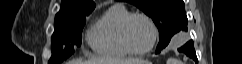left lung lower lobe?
Returning a JSON list of instances; mask_svg holds the SVG:
<instances>
[{"label": "left lung lower lobe", "mask_w": 242, "mask_h": 64, "mask_svg": "<svg viewBox=\"0 0 242 64\" xmlns=\"http://www.w3.org/2000/svg\"><path fill=\"white\" fill-rule=\"evenodd\" d=\"M161 51H163V49H157L155 53L158 54ZM178 51L185 53L187 56L192 58L196 62V64H198V59L195 53L193 41L187 42L185 45L179 48Z\"/></svg>", "instance_id": "left-lung-lower-lobe-1"}]
</instances>
